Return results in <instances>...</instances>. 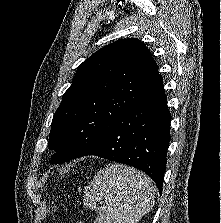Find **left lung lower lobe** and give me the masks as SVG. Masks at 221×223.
I'll return each mask as SVG.
<instances>
[{"label":"left lung lower lobe","mask_w":221,"mask_h":223,"mask_svg":"<svg viewBox=\"0 0 221 223\" xmlns=\"http://www.w3.org/2000/svg\"><path fill=\"white\" fill-rule=\"evenodd\" d=\"M170 120L162 76L76 158L95 155L144 171L160 193L170 141Z\"/></svg>","instance_id":"left-lung-lower-lobe-1"}]
</instances>
